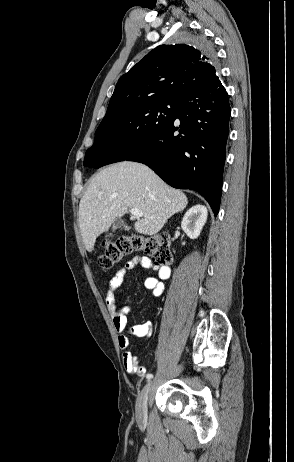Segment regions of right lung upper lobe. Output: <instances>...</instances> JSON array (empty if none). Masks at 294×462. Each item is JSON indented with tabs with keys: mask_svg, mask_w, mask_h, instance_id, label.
I'll return each instance as SVG.
<instances>
[{
	"mask_svg": "<svg viewBox=\"0 0 294 462\" xmlns=\"http://www.w3.org/2000/svg\"><path fill=\"white\" fill-rule=\"evenodd\" d=\"M215 53L186 44L161 45L118 80L106 115L147 99L183 97L218 78Z\"/></svg>",
	"mask_w": 294,
	"mask_h": 462,
	"instance_id": "1",
	"label": "right lung upper lobe"
}]
</instances>
